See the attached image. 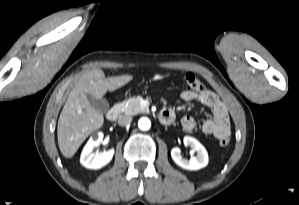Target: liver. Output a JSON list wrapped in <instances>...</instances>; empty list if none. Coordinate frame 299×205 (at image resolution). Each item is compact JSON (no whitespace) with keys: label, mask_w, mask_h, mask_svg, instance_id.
<instances>
[{"label":"liver","mask_w":299,"mask_h":205,"mask_svg":"<svg viewBox=\"0 0 299 205\" xmlns=\"http://www.w3.org/2000/svg\"><path fill=\"white\" fill-rule=\"evenodd\" d=\"M132 79V75L105 78L104 72L99 68L92 69L79 78L58 120V145L64 157H72L84 140L103 125V114L90 104L87 95L100 99L107 91H115Z\"/></svg>","instance_id":"liver-1"}]
</instances>
